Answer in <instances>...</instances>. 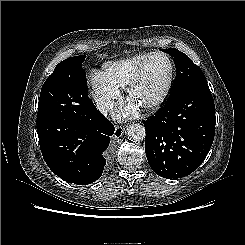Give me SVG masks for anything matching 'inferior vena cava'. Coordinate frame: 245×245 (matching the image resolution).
Listing matches in <instances>:
<instances>
[{
  "label": "inferior vena cava",
  "instance_id": "inferior-vena-cava-1",
  "mask_svg": "<svg viewBox=\"0 0 245 245\" xmlns=\"http://www.w3.org/2000/svg\"><path fill=\"white\" fill-rule=\"evenodd\" d=\"M97 109L104 115H107L110 110L113 108V103L109 100H101L96 103Z\"/></svg>",
  "mask_w": 245,
  "mask_h": 245
}]
</instances>
